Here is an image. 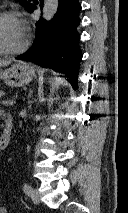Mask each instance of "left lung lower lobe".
<instances>
[{
  "mask_svg": "<svg viewBox=\"0 0 128 213\" xmlns=\"http://www.w3.org/2000/svg\"><path fill=\"white\" fill-rule=\"evenodd\" d=\"M33 4L28 9L33 11ZM78 0H59L57 13L53 20H40L36 25L33 46L16 59L27 60L43 67H50L70 77V83L77 88L78 70L82 53L79 47L80 24Z\"/></svg>",
  "mask_w": 128,
  "mask_h": 213,
  "instance_id": "0a47b994",
  "label": "left lung lower lobe"
}]
</instances>
